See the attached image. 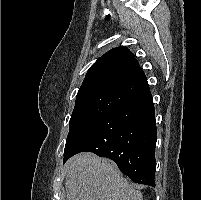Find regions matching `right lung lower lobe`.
<instances>
[{
    "instance_id": "right-lung-lower-lobe-1",
    "label": "right lung lower lobe",
    "mask_w": 201,
    "mask_h": 200,
    "mask_svg": "<svg viewBox=\"0 0 201 200\" xmlns=\"http://www.w3.org/2000/svg\"><path fill=\"white\" fill-rule=\"evenodd\" d=\"M156 141L155 109L148 91L78 133L67 145L64 163L79 152H93L113 160L133 182L155 187Z\"/></svg>"
}]
</instances>
